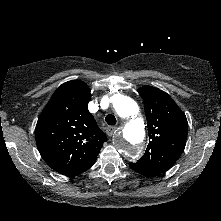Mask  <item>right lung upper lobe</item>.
Masks as SVG:
<instances>
[{
	"label": "right lung upper lobe",
	"instance_id": "cb5924a9",
	"mask_svg": "<svg viewBox=\"0 0 221 221\" xmlns=\"http://www.w3.org/2000/svg\"><path fill=\"white\" fill-rule=\"evenodd\" d=\"M89 87L79 80L62 84L43 109L35 129L46 163L66 175L96 159L107 141L88 111Z\"/></svg>",
	"mask_w": 221,
	"mask_h": 221
}]
</instances>
